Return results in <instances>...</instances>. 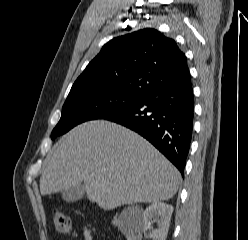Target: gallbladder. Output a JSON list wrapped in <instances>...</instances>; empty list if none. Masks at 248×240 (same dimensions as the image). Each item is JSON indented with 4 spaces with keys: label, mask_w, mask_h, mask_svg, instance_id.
I'll return each instance as SVG.
<instances>
[{
    "label": "gallbladder",
    "mask_w": 248,
    "mask_h": 240,
    "mask_svg": "<svg viewBox=\"0 0 248 240\" xmlns=\"http://www.w3.org/2000/svg\"><path fill=\"white\" fill-rule=\"evenodd\" d=\"M85 194V188L79 184L69 187L62 191V198L67 202H75L80 200Z\"/></svg>",
    "instance_id": "bac80fb5"
}]
</instances>
